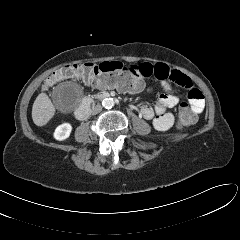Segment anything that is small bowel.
<instances>
[{"label": "small bowel", "instance_id": "c3829d8e", "mask_svg": "<svg viewBox=\"0 0 240 240\" xmlns=\"http://www.w3.org/2000/svg\"><path fill=\"white\" fill-rule=\"evenodd\" d=\"M135 72L141 79L154 77L161 82L164 92L159 96L154 107L149 105H142L139 109L140 115L151 121L153 127L158 131L168 130L174 122V116L169 111L179 103V96L175 92L173 84L185 88L188 93V104L195 115L200 114L205 106V100L202 92L193 86L189 77L182 72L170 68L163 63H148L144 62L133 66ZM99 88H106L107 86L93 85ZM143 89V84L135 90L138 92Z\"/></svg>", "mask_w": 240, "mask_h": 240}]
</instances>
